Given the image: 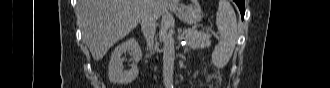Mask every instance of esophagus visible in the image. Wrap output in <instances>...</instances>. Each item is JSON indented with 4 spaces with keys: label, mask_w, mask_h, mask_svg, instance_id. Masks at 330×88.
Listing matches in <instances>:
<instances>
[{
    "label": "esophagus",
    "mask_w": 330,
    "mask_h": 88,
    "mask_svg": "<svg viewBox=\"0 0 330 88\" xmlns=\"http://www.w3.org/2000/svg\"><path fill=\"white\" fill-rule=\"evenodd\" d=\"M164 2L166 3V5H169V6L177 5V1H175V0H164Z\"/></svg>",
    "instance_id": "1"
}]
</instances>
